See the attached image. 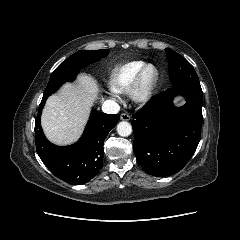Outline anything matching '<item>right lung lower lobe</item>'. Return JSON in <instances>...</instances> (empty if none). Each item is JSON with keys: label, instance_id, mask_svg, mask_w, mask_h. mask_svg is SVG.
Wrapping results in <instances>:
<instances>
[{"label": "right lung lower lobe", "instance_id": "98d812e1", "mask_svg": "<svg viewBox=\"0 0 240 240\" xmlns=\"http://www.w3.org/2000/svg\"><path fill=\"white\" fill-rule=\"evenodd\" d=\"M48 96H43L35 121L36 150L46 167L60 179L75 185L89 182L102 168L104 140L115 127L120 115L92 110L80 140L65 147L50 143L41 128L40 117Z\"/></svg>", "mask_w": 240, "mask_h": 240}]
</instances>
